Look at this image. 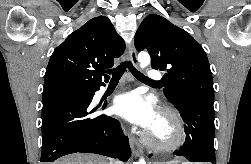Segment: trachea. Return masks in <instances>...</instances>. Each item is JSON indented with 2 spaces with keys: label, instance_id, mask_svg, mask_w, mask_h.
<instances>
[{
  "label": "trachea",
  "instance_id": "trachea-1",
  "mask_svg": "<svg viewBox=\"0 0 251 164\" xmlns=\"http://www.w3.org/2000/svg\"><path fill=\"white\" fill-rule=\"evenodd\" d=\"M126 67L130 69V71L137 79L147 83H158L157 81L149 79L147 76L136 70L131 62H123L118 67L106 71V73L112 74L111 82H118L122 77L123 73L125 72Z\"/></svg>",
  "mask_w": 251,
  "mask_h": 164
}]
</instances>
